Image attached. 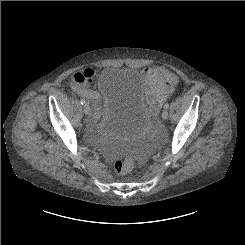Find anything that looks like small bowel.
Returning a JSON list of instances; mask_svg holds the SVG:
<instances>
[{
    "label": "small bowel",
    "mask_w": 245,
    "mask_h": 245,
    "mask_svg": "<svg viewBox=\"0 0 245 245\" xmlns=\"http://www.w3.org/2000/svg\"><path fill=\"white\" fill-rule=\"evenodd\" d=\"M141 79L145 83V88L152 100L157 102L165 101L178 86L177 76L163 67H145L140 72ZM88 78L85 81H79V78ZM95 78V71L87 68L75 72L70 83L71 89L79 95H82L95 102L98 94L89 87V83Z\"/></svg>",
    "instance_id": "1"
}]
</instances>
